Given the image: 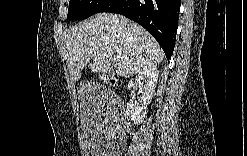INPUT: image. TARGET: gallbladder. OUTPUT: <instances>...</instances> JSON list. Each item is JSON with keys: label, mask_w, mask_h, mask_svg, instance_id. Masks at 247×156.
Listing matches in <instances>:
<instances>
[{"label": "gallbladder", "mask_w": 247, "mask_h": 156, "mask_svg": "<svg viewBox=\"0 0 247 156\" xmlns=\"http://www.w3.org/2000/svg\"><path fill=\"white\" fill-rule=\"evenodd\" d=\"M110 73H113V70H109Z\"/></svg>", "instance_id": "obj_1"}]
</instances>
